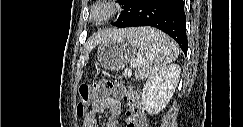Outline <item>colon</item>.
Listing matches in <instances>:
<instances>
[{"instance_id":"1","label":"colon","mask_w":243,"mask_h":127,"mask_svg":"<svg viewBox=\"0 0 243 127\" xmlns=\"http://www.w3.org/2000/svg\"><path fill=\"white\" fill-rule=\"evenodd\" d=\"M79 102L76 107V113L82 117L88 105L111 97L116 101H124L127 109L125 112L124 125L126 127H145L144 114L138 102L136 93L130 86L108 80L105 87L94 85L91 89L88 85H80L78 88Z\"/></svg>"}]
</instances>
